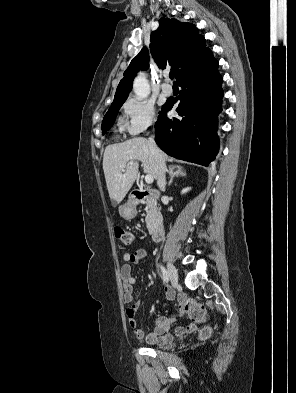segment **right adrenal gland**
<instances>
[{"mask_svg":"<svg viewBox=\"0 0 296 393\" xmlns=\"http://www.w3.org/2000/svg\"><path fill=\"white\" fill-rule=\"evenodd\" d=\"M168 173L170 175V181L168 183V186H171V184L173 183V180L176 177H184V176H186V172L184 171V169L181 166H178V165H171V166H169Z\"/></svg>","mask_w":296,"mask_h":393,"instance_id":"right-adrenal-gland-1","label":"right adrenal gland"}]
</instances>
